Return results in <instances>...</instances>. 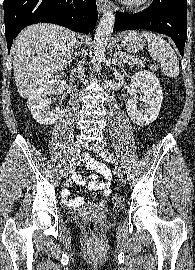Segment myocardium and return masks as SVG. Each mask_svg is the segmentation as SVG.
Returning <instances> with one entry per match:
<instances>
[{
    "mask_svg": "<svg viewBox=\"0 0 195 270\" xmlns=\"http://www.w3.org/2000/svg\"><path fill=\"white\" fill-rule=\"evenodd\" d=\"M120 2L131 8H141L146 6L150 0H120Z\"/></svg>",
    "mask_w": 195,
    "mask_h": 270,
    "instance_id": "1",
    "label": "myocardium"
}]
</instances>
